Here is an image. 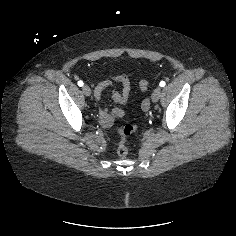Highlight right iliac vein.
Segmentation results:
<instances>
[{
  "instance_id": "right-iliac-vein-1",
  "label": "right iliac vein",
  "mask_w": 236,
  "mask_h": 236,
  "mask_svg": "<svg viewBox=\"0 0 236 236\" xmlns=\"http://www.w3.org/2000/svg\"><path fill=\"white\" fill-rule=\"evenodd\" d=\"M82 91H83V93H84L85 96H90V95H91V89H90V87L87 86V85H84V86L82 87Z\"/></svg>"
}]
</instances>
